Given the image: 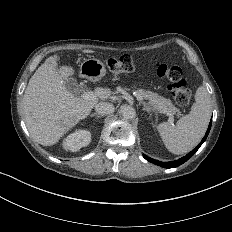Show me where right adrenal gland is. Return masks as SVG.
Masks as SVG:
<instances>
[{
    "instance_id": "obj_1",
    "label": "right adrenal gland",
    "mask_w": 232,
    "mask_h": 232,
    "mask_svg": "<svg viewBox=\"0 0 232 232\" xmlns=\"http://www.w3.org/2000/svg\"><path fill=\"white\" fill-rule=\"evenodd\" d=\"M91 117L96 116V118H101L103 115L99 113L90 114Z\"/></svg>"
}]
</instances>
